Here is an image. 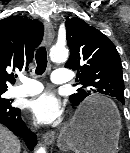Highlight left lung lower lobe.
<instances>
[{"label":"left lung lower lobe","mask_w":130,"mask_h":153,"mask_svg":"<svg viewBox=\"0 0 130 153\" xmlns=\"http://www.w3.org/2000/svg\"><path fill=\"white\" fill-rule=\"evenodd\" d=\"M122 104H124V103H122ZM96 111H97L96 109L86 108L82 111V116L86 119L90 118L96 114Z\"/></svg>","instance_id":"1"}]
</instances>
